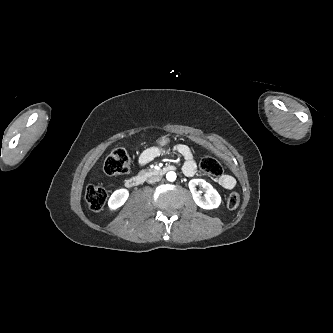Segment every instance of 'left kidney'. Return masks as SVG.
<instances>
[{
    "label": "left kidney",
    "instance_id": "left-kidney-1",
    "mask_svg": "<svg viewBox=\"0 0 333 333\" xmlns=\"http://www.w3.org/2000/svg\"><path fill=\"white\" fill-rule=\"evenodd\" d=\"M197 185L204 189V197H201L199 192L196 190ZM189 189L192 193L195 203L203 209H214L217 208L221 203V197L219 193L213 188L211 184L203 179L190 180Z\"/></svg>",
    "mask_w": 333,
    "mask_h": 333
}]
</instances>
